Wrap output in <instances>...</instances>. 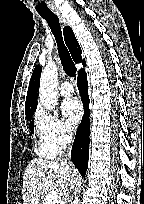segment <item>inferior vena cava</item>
Masks as SVG:
<instances>
[{
	"label": "inferior vena cava",
	"mask_w": 144,
	"mask_h": 204,
	"mask_svg": "<svg viewBox=\"0 0 144 204\" xmlns=\"http://www.w3.org/2000/svg\"><path fill=\"white\" fill-rule=\"evenodd\" d=\"M73 138H72V134L71 133H68L67 135H66V141H67V143L69 144V145H71V143H72V140ZM69 150L71 151V148H69ZM69 154H70V152H69Z\"/></svg>",
	"instance_id": "obj_1"
}]
</instances>
